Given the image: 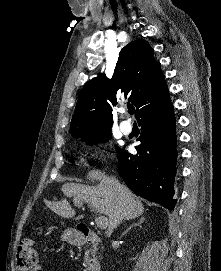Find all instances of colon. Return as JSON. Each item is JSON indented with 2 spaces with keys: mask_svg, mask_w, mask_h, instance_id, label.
Listing matches in <instances>:
<instances>
[{
  "mask_svg": "<svg viewBox=\"0 0 221 271\" xmlns=\"http://www.w3.org/2000/svg\"><path fill=\"white\" fill-rule=\"evenodd\" d=\"M40 228L35 232L39 233ZM17 268L18 271H41V263L33 240L22 239L17 247Z\"/></svg>",
  "mask_w": 221,
  "mask_h": 271,
  "instance_id": "5ec220e1",
  "label": "colon"
}]
</instances>
